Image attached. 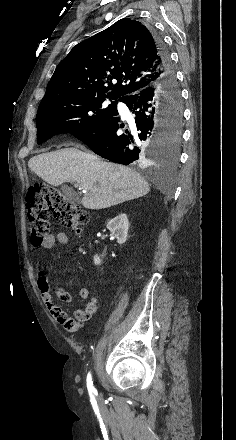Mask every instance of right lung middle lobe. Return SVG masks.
I'll use <instances>...</instances> for the list:
<instances>
[{
	"label": "right lung middle lobe",
	"instance_id": "obj_1",
	"mask_svg": "<svg viewBox=\"0 0 236 440\" xmlns=\"http://www.w3.org/2000/svg\"><path fill=\"white\" fill-rule=\"evenodd\" d=\"M179 94H177V97ZM104 98L93 95H74L54 98L40 103L37 117V143L55 134L83 132L109 119L117 110V102L102 105ZM181 139V124L167 127L161 138L162 154L175 161Z\"/></svg>",
	"mask_w": 236,
	"mask_h": 440
}]
</instances>
